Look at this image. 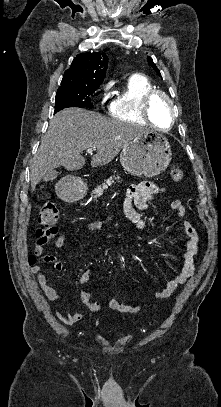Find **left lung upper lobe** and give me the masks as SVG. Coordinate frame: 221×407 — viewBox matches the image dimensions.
<instances>
[{"instance_id":"left-lung-upper-lobe-1","label":"left lung upper lobe","mask_w":221,"mask_h":407,"mask_svg":"<svg viewBox=\"0 0 221 407\" xmlns=\"http://www.w3.org/2000/svg\"><path fill=\"white\" fill-rule=\"evenodd\" d=\"M147 60H148L149 64L151 65V67H153V68L156 70V72L160 75V71L158 70V68H157V67L155 66V64L153 63L152 58L149 57V56H147Z\"/></svg>"}]
</instances>
